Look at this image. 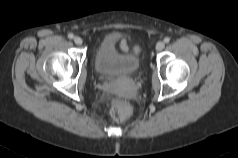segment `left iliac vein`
<instances>
[{
	"label": "left iliac vein",
	"instance_id": "1",
	"mask_svg": "<svg viewBox=\"0 0 238 158\" xmlns=\"http://www.w3.org/2000/svg\"><path fill=\"white\" fill-rule=\"evenodd\" d=\"M165 47V43L163 41H159L157 44H156V50L157 51H161L163 50Z\"/></svg>",
	"mask_w": 238,
	"mask_h": 158
}]
</instances>
